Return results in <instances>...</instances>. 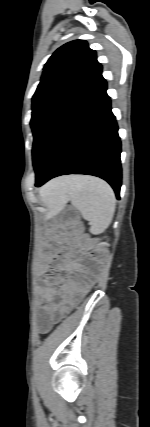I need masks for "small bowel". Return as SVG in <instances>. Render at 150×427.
<instances>
[{
    "label": "small bowel",
    "mask_w": 150,
    "mask_h": 427,
    "mask_svg": "<svg viewBox=\"0 0 150 427\" xmlns=\"http://www.w3.org/2000/svg\"><path fill=\"white\" fill-rule=\"evenodd\" d=\"M59 259L58 256H54L39 265V273L42 277L38 299L39 302L44 305L39 316V327L43 332L48 331L57 319L69 312L77 302L78 295L85 290L83 285L75 286L71 283L66 284L61 292L56 290L55 287L59 279L55 276L48 275L47 272L52 267L53 262ZM58 265L61 268H68L67 263L64 261H61ZM58 295L62 300L56 304L54 300Z\"/></svg>",
    "instance_id": "small-bowel-1"
}]
</instances>
